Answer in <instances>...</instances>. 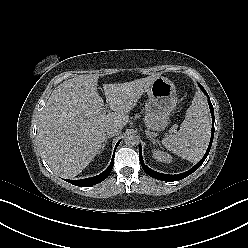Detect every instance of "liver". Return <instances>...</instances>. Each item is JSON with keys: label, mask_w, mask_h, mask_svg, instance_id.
<instances>
[{"label": "liver", "mask_w": 248, "mask_h": 248, "mask_svg": "<svg viewBox=\"0 0 248 248\" xmlns=\"http://www.w3.org/2000/svg\"><path fill=\"white\" fill-rule=\"evenodd\" d=\"M160 74L121 84H104L106 101L114 111L106 114L97 92V75H78L58 85L43 108L37 139L52 170L73 178L99 153L107 138L105 128L127 124V114L145 89Z\"/></svg>", "instance_id": "1"}]
</instances>
